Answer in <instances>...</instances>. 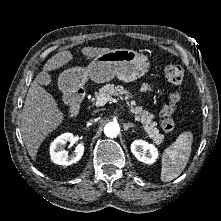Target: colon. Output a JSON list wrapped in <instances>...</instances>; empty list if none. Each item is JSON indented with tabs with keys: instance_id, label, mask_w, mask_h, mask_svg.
<instances>
[{
	"instance_id": "5ec220e1",
	"label": "colon",
	"mask_w": 221,
	"mask_h": 221,
	"mask_svg": "<svg viewBox=\"0 0 221 221\" xmlns=\"http://www.w3.org/2000/svg\"><path fill=\"white\" fill-rule=\"evenodd\" d=\"M164 75L168 82L175 86H180L184 80V71L179 65H168L164 69ZM181 100V94L178 90L172 92L163 102L160 111V121L163 131L171 134L175 130L173 114Z\"/></svg>"
}]
</instances>
